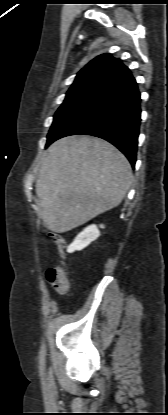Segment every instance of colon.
<instances>
[{
    "instance_id": "obj_1",
    "label": "colon",
    "mask_w": 168,
    "mask_h": 415,
    "mask_svg": "<svg viewBox=\"0 0 168 415\" xmlns=\"http://www.w3.org/2000/svg\"><path fill=\"white\" fill-rule=\"evenodd\" d=\"M49 236L58 249L61 261L58 266L46 271L45 278L57 290L65 292L69 288V276L65 267V239L61 234L55 232H50Z\"/></svg>"
}]
</instances>
